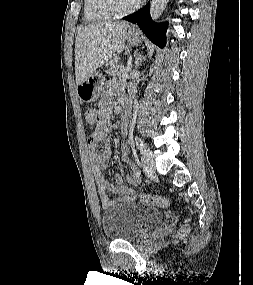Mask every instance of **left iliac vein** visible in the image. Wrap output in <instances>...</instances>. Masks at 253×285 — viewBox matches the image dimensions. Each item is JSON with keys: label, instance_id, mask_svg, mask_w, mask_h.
Listing matches in <instances>:
<instances>
[{"label": "left iliac vein", "instance_id": "left-iliac-vein-1", "mask_svg": "<svg viewBox=\"0 0 253 285\" xmlns=\"http://www.w3.org/2000/svg\"><path fill=\"white\" fill-rule=\"evenodd\" d=\"M142 164L146 174L154 173L155 161L152 151L150 149H146L145 152L142 153Z\"/></svg>", "mask_w": 253, "mask_h": 285}]
</instances>
